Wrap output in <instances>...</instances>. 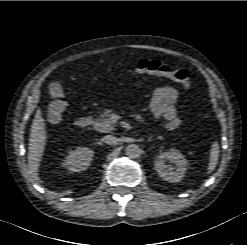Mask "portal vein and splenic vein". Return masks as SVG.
<instances>
[{
    "mask_svg": "<svg viewBox=\"0 0 247 245\" xmlns=\"http://www.w3.org/2000/svg\"><path fill=\"white\" fill-rule=\"evenodd\" d=\"M110 119L113 123H116L119 120V117L117 115L113 114V115H111Z\"/></svg>",
    "mask_w": 247,
    "mask_h": 245,
    "instance_id": "18ae733b",
    "label": "portal vein and splenic vein"
}]
</instances>
